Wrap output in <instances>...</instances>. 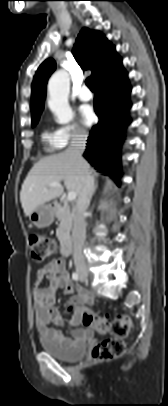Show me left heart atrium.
Wrapping results in <instances>:
<instances>
[{
    "label": "left heart atrium",
    "instance_id": "left-heart-atrium-1",
    "mask_svg": "<svg viewBox=\"0 0 168 406\" xmlns=\"http://www.w3.org/2000/svg\"><path fill=\"white\" fill-rule=\"evenodd\" d=\"M81 120L84 125L90 126L95 121V113L90 105H82L79 109Z\"/></svg>",
    "mask_w": 168,
    "mask_h": 406
}]
</instances>
